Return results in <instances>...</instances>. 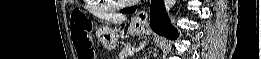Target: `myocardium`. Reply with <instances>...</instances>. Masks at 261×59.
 <instances>
[{
	"label": "myocardium",
	"mask_w": 261,
	"mask_h": 59,
	"mask_svg": "<svg viewBox=\"0 0 261 59\" xmlns=\"http://www.w3.org/2000/svg\"><path fill=\"white\" fill-rule=\"evenodd\" d=\"M113 4L115 7L121 8L127 6L128 2L113 1Z\"/></svg>",
	"instance_id": "f54148a6"
}]
</instances>
